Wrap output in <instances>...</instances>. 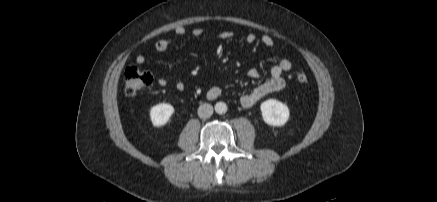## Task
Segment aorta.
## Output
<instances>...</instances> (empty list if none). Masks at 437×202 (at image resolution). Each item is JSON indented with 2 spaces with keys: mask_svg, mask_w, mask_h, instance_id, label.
<instances>
[{
  "mask_svg": "<svg viewBox=\"0 0 437 202\" xmlns=\"http://www.w3.org/2000/svg\"><path fill=\"white\" fill-rule=\"evenodd\" d=\"M214 108L215 112L218 114H224L227 112V105L224 102H217Z\"/></svg>",
  "mask_w": 437,
  "mask_h": 202,
  "instance_id": "obj_1",
  "label": "aorta"
}]
</instances>
